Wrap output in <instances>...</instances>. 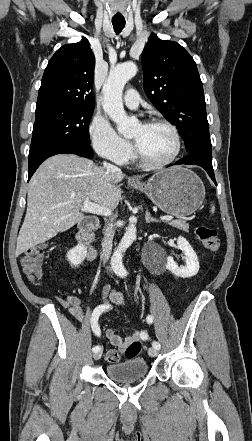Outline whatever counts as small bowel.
Listing matches in <instances>:
<instances>
[{"instance_id":"small-bowel-1","label":"small bowel","mask_w":252,"mask_h":441,"mask_svg":"<svg viewBox=\"0 0 252 441\" xmlns=\"http://www.w3.org/2000/svg\"><path fill=\"white\" fill-rule=\"evenodd\" d=\"M102 301L104 302L101 305H110L106 303V301H110L114 305L125 306L126 301L122 293L117 290L111 288L109 285H106L102 291ZM58 302L62 307L69 310L70 314L79 322H83L85 319L84 310L82 307L81 300L73 295H68L65 298H59ZM111 306V305H110ZM105 337L108 342L118 349L120 353H125L128 346L135 341L140 340L139 332H135L125 338L119 336L116 331L112 328H109L105 331Z\"/></svg>"}]
</instances>
